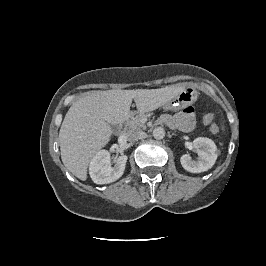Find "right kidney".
Listing matches in <instances>:
<instances>
[{"label": "right kidney", "mask_w": 266, "mask_h": 266, "mask_svg": "<svg viewBox=\"0 0 266 266\" xmlns=\"http://www.w3.org/2000/svg\"><path fill=\"white\" fill-rule=\"evenodd\" d=\"M128 157L119 156L114 167L111 166L110 153L101 150L93 157L89 166V174L96 184H109L118 180L124 173Z\"/></svg>", "instance_id": "obj_1"}]
</instances>
